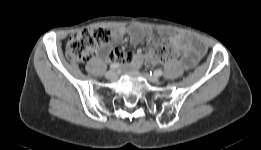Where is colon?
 I'll return each instance as SVG.
<instances>
[{
    "mask_svg": "<svg viewBox=\"0 0 261 150\" xmlns=\"http://www.w3.org/2000/svg\"><path fill=\"white\" fill-rule=\"evenodd\" d=\"M111 33L105 28H87L70 36L66 47V57L72 62L90 60L99 47L108 43ZM181 52L174 48L168 40L155 41L148 53L152 63L165 62L180 58Z\"/></svg>",
    "mask_w": 261,
    "mask_h": 150,
    "instance_id": "5ec220e1",
    "label": "colon"
}]
</instances>
